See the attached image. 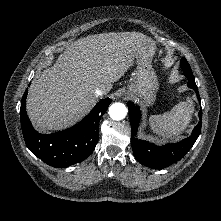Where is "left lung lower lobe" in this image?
I'll return each mask as SVG.
<instances>
[{
    "instance_id": "0a47b994",
    "label": "left lung lower lobe",
    "mask_w": 221,
    "mask_h": 221,
    "mask_svg": "<svg viewBox=\"0 0 221 221\" xmlns=\"http://www.w3.org/2000/svg\"><path fill=\"white\" fill-rule=\"evenodd\" d=\"M184 74L188 78V86L196 91L198 100L200 102L198 88L196 86L192 71H184ZM128 108L132 132L131 144L133 154L141 164L152 169H163L181 160L192 148L201 132L202 112L200 110V121L192 131L190 137L178 143L166 144L165 146L159 147L148 141L139 140L135 137L137 134L141 113L139 107L134 105L132 102H128Z\"/></svg>"
}]
</instances>
